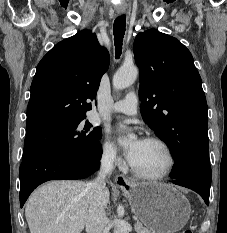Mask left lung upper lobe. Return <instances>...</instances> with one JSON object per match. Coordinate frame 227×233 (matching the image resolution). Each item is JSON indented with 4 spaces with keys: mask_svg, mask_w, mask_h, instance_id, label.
<instances>
[{
    "mask_svg": "<svg viewBox=\"0 0 227 233\" xmlns=\"http://www.w3.org/2000/svg\"><path fill=\"white\" fill-rule=\"evenodd\" d=\"M133 51L140 70L141 114L170 148L172 178L210 186L208 108L190 51L156 29L139 33Z\"/></svg>",
    "mask_w": 227,
    "mask_h": 233,
    "instance_id": "5c2ea615",
    "label": "left lung upper lobe"
}]
</instances>
